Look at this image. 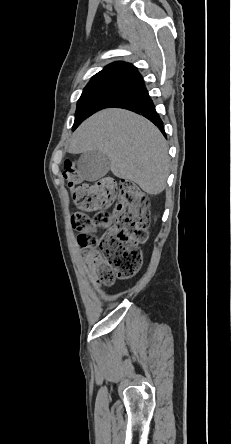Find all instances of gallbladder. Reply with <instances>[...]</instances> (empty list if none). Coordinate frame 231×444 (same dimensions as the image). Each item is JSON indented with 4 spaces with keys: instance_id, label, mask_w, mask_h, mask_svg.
Masks as SVG:
<instances>
[{
    "instance_id": "obj_1",
    "label": "gallbladder",
    "mask_w": 231,
    "mask_h": 444,
    "mask_svg": "<svg viewBox=\"0 0 231 444\" xmlns=\"http://www.w3.org/2000/svg\"><path fill=\"white\" fill-rule=\"evenodd\" d=\"M110 168V161L99 151L83 153L78 160V171L87 181H96L105 176Z\"/></svg>"
}]
</instances>
